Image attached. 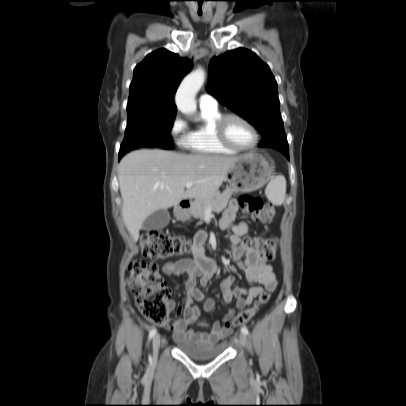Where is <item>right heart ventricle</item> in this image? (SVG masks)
<instances>
[{
  "label": "right heart ventricle",
  "instance_id": "obj_1",
  "mask_svg": "<svg viewBox=\"0 0 406 406\" xmlns=\"http://www.w3.org/2000/svg\"><path fill=\"white\" fill-rule=\"evenodd\" d=\"M222 115L216 108H201L202 122L188 136L186 147L197 154L233 155L236 151L222 145L216 136L215 124Z\"/></svg>",
  "mask_w": 406,
  "mask_h": 406
}]
</instances>
